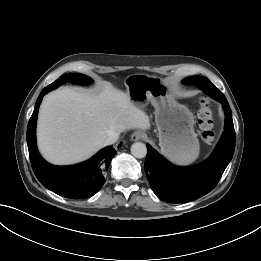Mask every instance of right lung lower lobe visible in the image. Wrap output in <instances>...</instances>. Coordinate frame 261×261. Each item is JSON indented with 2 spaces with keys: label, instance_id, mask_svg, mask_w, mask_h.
<instances>
[{
  "label": "right lung lower lobe",
  "instance_id": "98d812e1",
  "mask_svg": "<svg viewBox=\"0 0 261 261\" xmlns=\"http://www.w3.org/2000/svg\"><path fill=\"white\" fill-rule=\"evenodd\" d=\"M59 83L48 85L40 93L27 127V145L33 171L38 180L54 193L70 198L85 199L93 196L105 182L104 174L110 165L115 149L106 147L86 162L73 166H54L38 153L36 146V121L42 97L57 88Z\"/></svg>",
  "mask_w": 261,
  "mask_h": 261
}]
</instances>
